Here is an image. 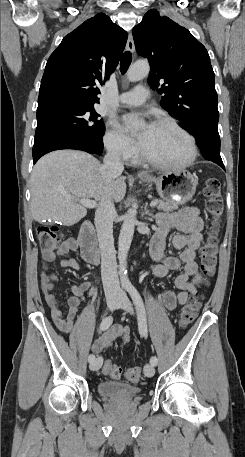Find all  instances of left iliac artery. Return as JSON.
I'll return each instance as SVG.
<instances>
[{
    "label": "left iliac artery",
    "mask_w": 245,
    "mask_h": 457,
    "mask_svg": "<svg viewBox=\"0 0 245 457\" xmlns=\"http://www.w3.org/2000/svg\"><path fill=\"white\" fill-rule=\"evenodd\" d=\"M126 289L129 293V295L131 296V298L135 304L136 310H137L139 332L142 336L146 337L147 333H148V329H147L146 311H145V306H144L143 300H142L139 292L133 285L126 286ZM157 362H158V360H157L156 356H152L150 358V363L152 365L156 366Z\"/></svg>",
    "instance_id": "1"
}]
</instances>
